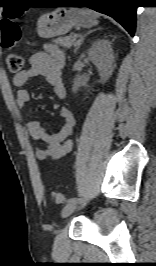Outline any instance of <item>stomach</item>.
Here are the masks:
<instances>
[{
    "label": "stomach",
    "mask_w": 156,
    "mask_h": 266,
    "mask_svg": "<svg viewBox=\"0 0 156 266\" xmlns=\"http://www.w3.org/2000/svg\"><path fill=\"white\" fill-rule=\"evenodd\" d=\"M97 24L95 13L89 9L61 7L39 18L37 33L41 38L49 39L65 35L75 26L92 27Z\"/></svg>",
    "instance_id": "0dacf381"
}]
</instances>
